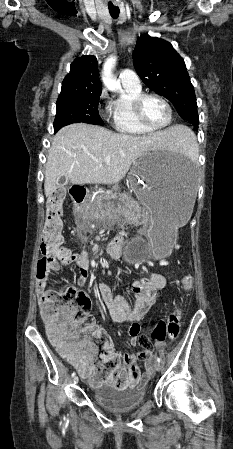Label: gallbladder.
I'll return each instance as SVG.
<instances>
[{
    "label": "gallbladder",
    "mask_w": 233,
    "mask_h": 449,
    "mask_svg": "<svg viewBox=\"0 0 233 449\" xmlns=\"http://www.w3.org/2000/svg\"><path fill=\"white\" fill-rule=\"evenodd\" d=\"M66 183H67V179H65L63 177L60 178L59 183L57 184V193L59 195H64L65 194L64 186L66 185Z\"/></svg>",
    "instance_id": "obj_1"
}]
</instances>
